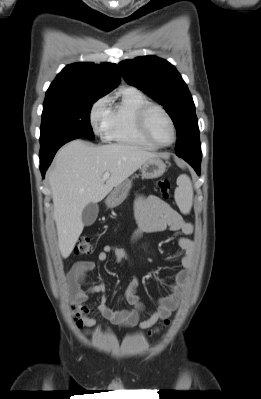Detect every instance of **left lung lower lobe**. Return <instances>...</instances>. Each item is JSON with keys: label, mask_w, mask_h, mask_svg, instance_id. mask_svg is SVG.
I'll return each mask as SVG.
<instances>
[{"label": "left lung lower lobe", "mask_w": 261, "mask_h": 399, "mask_svg": "<svg viewBox=\"0 0 261 399\" xmlns=\"http://www.w3.org/2000/svg\"><path fill=\"white\" fill-rule=\"evenodd\" d=\"M181 158L187 161L195 169L197 174L200 175V164L202 157H181Z\"/></svg>", "instance_id": "1"}]
</instances>
